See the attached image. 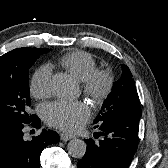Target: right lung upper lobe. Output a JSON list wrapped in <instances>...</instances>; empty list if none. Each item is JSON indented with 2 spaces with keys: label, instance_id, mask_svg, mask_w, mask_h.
I'll return each instance as SVG.
<instances>
[{
  "label": "right lung upper lobe",
  "instance_id": "cb5924a9",
  "mask_svg": "<svg viewBox=\"0 0 168 168\" xmlns=\"http://www.w3.org/2000/svg\"><path fill=\"white\" fill-rule=\"evenodd\" d=\"M25 48H18L15 50H12L3 56L0 57V68H3L5 66H9L14 63L16 56Z\"/></svg>",
  "mask_w": 168,
  "mask_h": 168
}]
</instances>
